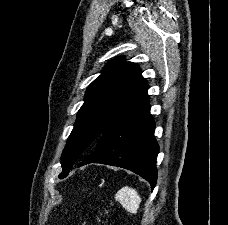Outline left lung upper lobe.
<instances>
[{"label": "left lung upper lobe", "instance_id": "obj_1", "mask_svg": "<svg viewBox=\"0 0 228 225\" xmlns=\"http://www.w3.org/2000/svg\"><path fill=\"white\" fill-rule=\"evenodd\" d=\"M147 88L137 64L116 57L105 65L86 91L62 154L60 179L68 175L77 160L93 151L101 135L113 123L148 95Z\"/></svg>", "mask_w": 228, "mask_h": 225}]
</instances>
